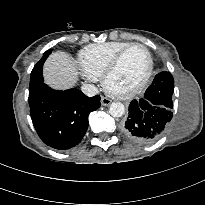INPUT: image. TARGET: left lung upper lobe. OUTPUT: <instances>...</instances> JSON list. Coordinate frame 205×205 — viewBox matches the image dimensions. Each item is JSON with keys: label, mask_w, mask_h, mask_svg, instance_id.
Here are the masks:
<instances>
[{"label": "left lung upper lobe", "mask_w": 205, "mask_h": 205, "mask_svg": "<svg viewBox=\"0 0 205 205\" xmlns=\"http://www.w3.org/2000/svg\"><path fill=\"white\" fill-rule=\"evenodd\" d=\"M156 87L158 89L162 88L164 91L168 93L170 96V102H172V94L174 92V79L170 72H161L156 75L153 84L149 86L144 95L152 91V89ZM167 96V95H166Z\"/></svg>", "instance_id": "5c2ea615"}]
</instances>
